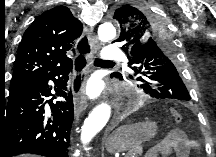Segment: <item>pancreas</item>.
<instances>
[{
  "instance_id": "cf45deb5",
  "label": "pancreas",
  "mask_w": 216,
  "mask_h": 157,
  "mask_svg": "<svg viewBox=\"0 0 216 157\" xmlns=\"http://www.w3.org/2000/svg\"><path fill=\"white\" fill-rule=\"evenodd\" d=\"M141 154H142V148L137 147V148L129 151L127 157H139Z\"/></svg>"
}]
</instances>
